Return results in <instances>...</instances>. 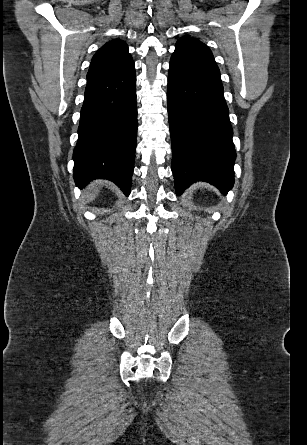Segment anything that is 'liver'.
<instances>
[{
    "label": "liver",
    "mask_w": 307,
    "mask_h": 445,
    "mask_svg": "<svg viewBox=\"0 0 307 445\" xmlns=\"http://www.w3.org/2000/svg\"><path fill=\"white\" fill-rule=\"evenodd\" d=\"M89 192H84L82 196L86 198L87 202H91V200H95L96 196H98L99 186H91V188H88Z\"/></svg>",
    "instance_id": "obj_1"
}]
</instances>
